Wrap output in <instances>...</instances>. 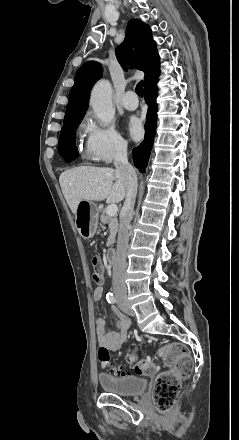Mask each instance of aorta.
<instances>
[{"label":"aorta","mask_w":239,"mask_h":440,"mask_svg":"<svg viewBox=\"0 0 239 440\" xmlns=\"http://www.w3.org/2000/svg\"><path fill=\"white\" fill-rule=\"evenodd\" d=\"M90 106L103 126H109L115 116V108L112 104V88L108 80H99L95 84L91 96Z\"/></svg>","instance_id":"1"}]
</instances>
